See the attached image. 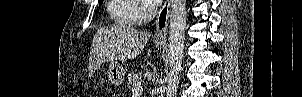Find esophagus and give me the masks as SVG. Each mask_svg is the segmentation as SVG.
I'll use <instances>...</instances> for the list:
<instances>
[{
    "instance_id": "esophagus-1",
    "label": "esophagus",
    "mask_w": 302,
    "mask_h": 97,
    "mask_svg": "<svg viewBox=\"0 0 302 97\" xmlns=\"http://www.w3.org/2000/svg\"><path fill=\"white\" fill-rule=\"evenodd\" d=\"M171 3V0H166L158 11L154 35V41L156 43H164L166 41Z\"/></svg>"
}]
</instances>
